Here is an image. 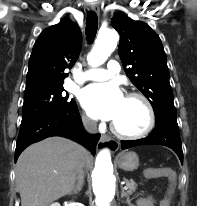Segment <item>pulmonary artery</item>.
Wrapping results in <instances>:
<instances>
[{
  "label": "pulmonary artery",
  "instance_id": "pulmonary-artery-1",
  "mask_svg": "<svg viewBox=\"0 0 197 206\" xmlns=\"http://www.w3.org/2000/svg\"><path fill=\"white\" fill-rule=\"evenodd\" d=\"M120 71V64L116 60H110L107 63V68L105 69H93L89 70L84 74L85 80H106L111 78L114 74Z\"/></svg>",
  "mask_w": 197,
  "mask_h": 206
}]
</instances>
